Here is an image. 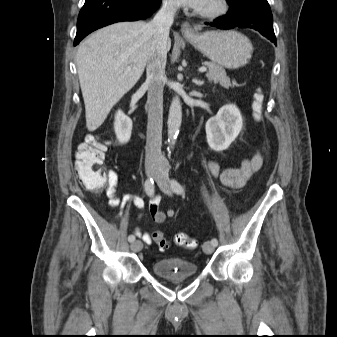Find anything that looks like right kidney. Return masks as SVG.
Here are the masks:
<instances>
[{"label":"right kidney","instance_id":"right-kidney-1","mask_svg":"<svg viewBox=\"0 0 337 337\" xmlns=\"http://www.w3.org/2000/svg\"><path fill=\"white\" fill-rule=\"evenodd\" d=\"M114 130L120 143L124 144L130 140L132 132V120L121 110H118L115 115Z\"/></svg>","mask_w":337,"mask_h":337}]
</instances>
